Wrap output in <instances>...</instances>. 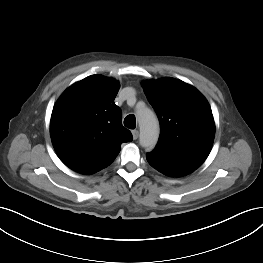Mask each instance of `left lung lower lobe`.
Wrapping results in <instances>:
<instances>
[{
  "mask_svg": "<svg viewBox=\"0 0 263 263\" xmlns=\"http://www.w3.org/2000/svg\"><path fill=\"white\" fill-rule=\"evenodd\" d=\"M148 163L159 172L180 177L196 170L204 161L190 158H176L152 151L146 154Z\"/></svg>",
  "mask_w": 263,
  "mask_h": 263,
  "instance_id": "obj_1",
  "label": "left lung lower lobe"
}]
</instances>
